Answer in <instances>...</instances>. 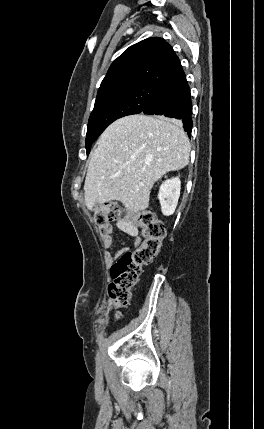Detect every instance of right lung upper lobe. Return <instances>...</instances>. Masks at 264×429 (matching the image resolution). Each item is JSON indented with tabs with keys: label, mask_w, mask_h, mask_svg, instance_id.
<instances>
[{
	"label": "right lung upper lobe",
	"mask_w": 264,
	"mask_h": 429,
	"mask_svg": "<svg viewBox=\"0 0 264 429\" xmlns=\"http://www.w3.org/2000/svg\"><path fill=\"white\" fill-rule=\"evenodd\" d=\"M180 66L179 58L164 39H145L129 47L112 63L97 97L139 84L160 86Z\"/></svg>",
	"instance_id": "right-lung-upper-lobe-1"
}]
</instances>
